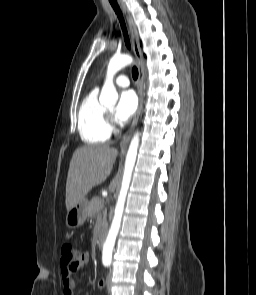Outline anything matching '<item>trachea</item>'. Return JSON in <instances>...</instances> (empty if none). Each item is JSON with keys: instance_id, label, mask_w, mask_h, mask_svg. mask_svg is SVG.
I'll use <instances>...</instances> for the list:
<instances>
[{"instance_id": "trachea-1", "label": "trachea", "mask_w": 256, "mask_h": 295, "mask_svg": "<svg viewBox=\"0 0 256 295\" xmlns=\"http://www.w3.org/2000/svg\"><path fill=\"white\" fill-rule=\"evenodd\" d=\"M109 2L111 4V6L113 7L115 13L117 14V17H118L119 22L121 24L125 44H126L127 48L130 49V41H129V37H128V34H127V29H126V25H125V22H124L122 12H121L116 0H109ZM132 77H133L134 80H136L138 78V69L135 66L132 68Z\"/></svg>"}]
</instances>
